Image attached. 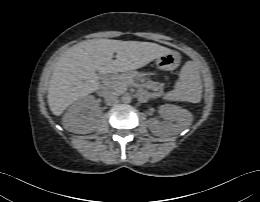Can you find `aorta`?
<instances>
[{
    "label": "aorta",
    "instance_id": "aorta-1",
    "mask_svg": "<svg viewBox=\"0 0 260 202\" xmlns=\"http://www.w3.org/2000/svg\"><path fill=\"white\" fill-rule=\"evenodd\" d=\"M131 96L129 94H124L122 97H121V101L123 103H130L131 102Z\"/></svg>",
    "mask_w": 260,
    "mask_h": 202
}]
</instances>
